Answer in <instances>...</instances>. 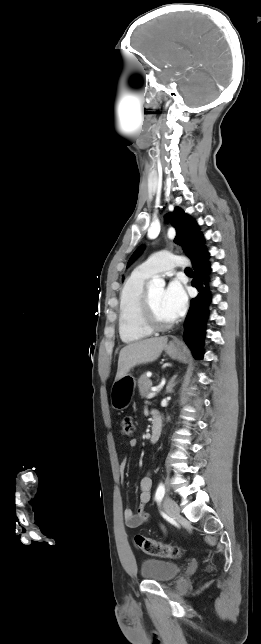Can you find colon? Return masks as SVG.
<instances>
[{
    "label": "colon",
    "instance_id": "1",
    "mask_svg": "<svg viewBox=\"0 0 261 644\" xmlns=\"http://www.w3.org/2000/svg\"><path fill=\"white\" fill-rule=\"evenodd\" d=\"M121 432L124 436L131 437L135 433V424L131 416H125L121 422ZM135 543L145 554L163 558H175L182 554L178 547L158 542L154 539L136 535Z\"/></svg>",
    "mask_w": 261,
    "mask_h": 644
}]
</instances>
